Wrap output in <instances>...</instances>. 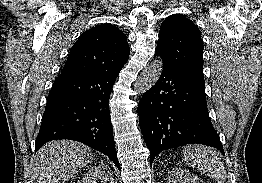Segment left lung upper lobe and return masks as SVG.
Listing matches in <instances>:
<instances>
[{
	"instance_id": "5c2ea615",
	"label": "left lung upper lobe",
	"mask_w": 262,
	"mask_h": 183,
	"mask_svg": "<svg viewBox=\"0 0 262 183\" xmlns=\"http://www.w3.org/2000/svg\"><path fill=\"white\" fill-rule=\"evenodd\" d=\"M201 32L190 19L174 14L160 27L155 56L163 64L204 82Z\"/></svg>"
}]
</instances>
